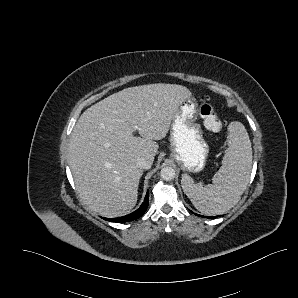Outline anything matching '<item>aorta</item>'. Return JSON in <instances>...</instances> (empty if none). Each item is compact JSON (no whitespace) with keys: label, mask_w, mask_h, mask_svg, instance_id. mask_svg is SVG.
<instances>
[{"label":"aorta","mask_w":298,"mask_h":298,"mask_svg":"<svg viewBox=\"0 0 298 298\" xmlns=\"http://www.w3.org/2000/svg\"><path fill=\"white\" fill-rule=\"evenodd\" d=\"M160 177L165 181L174 180L176 177V170L171 166H165L160 170Z\"/></svg>","instance_id":"obj_1"}]
</instances>
